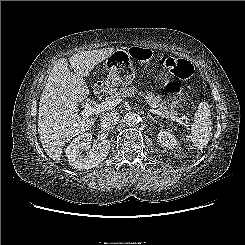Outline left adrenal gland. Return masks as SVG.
<instances>
[{
  "mask_svg": "<svg viewBox=\"0 0 245 245\" xmlns=\"http://www.w3.org/2000/svg\"><path fill=\"white\" fill-rule=\"evenodd\" d=\"M149 119H151L153 122L157 123V120L155 117H153L152 115H148L147 116Z\"/></svg>",
  "mask_w": 245,
  "mask_h": 245,
  "instance_id": "left-adrenal-gland-1",
  "label": "left adrenal gland"
}]
</instances>
